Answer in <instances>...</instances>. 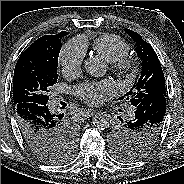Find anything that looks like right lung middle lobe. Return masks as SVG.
<instances>
[{
  "label": "right lung middle lobe",
  "instance_id": "1",
  "mask_svg": "<svg viewBox=\"0 0 184 184\" xmlns=\"http://www.w3.org/2000/svg\"><path fill=\"white\" fill-rule=\"evenodd\" d=\"M68 33L64 32V36ZM60 37L54 38L46 51L34 50L21 53L14 69L12 94L14 104L32 102L47 104L48 93L57 82L58 55L62 47ZM75 129L65 127L61 140L50 149L35 152L38 158L47 163H60L68 160L75 150Z\"/></svg>",
  "mask_w": 184,
  "mask_h": 184
}]
</instances>
